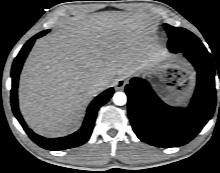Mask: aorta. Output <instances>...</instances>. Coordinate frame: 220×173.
Here are the masks:
<instances>
[{
	"instance_id": "aorta-1",
	"label": "aorta",
	"mask_w": 220,
	"mask_h": 173,
	"mask_svg": "<svg viewBox=\"0 0 220 173\" xmlns=\"http://www.w3.org/2000/svg\"><path fill=\"white\" fill-rule=\"evenodd\" d=\"M113 102L119 106L126 104V102H127L126 94L124 92H116L113 95Z\"/></svg>"
}]
</instances>
